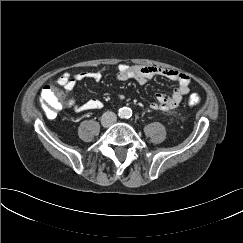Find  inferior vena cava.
<instances>
[{
  "label": "inferior vena cava",
  "mask_w": 243,
  "mask_h": 243,
  "mask_svg": "<svg viewBox=\"0 0 243 243\" xmlns=\"http://www.w3.org/2000/svg\"><path fill=\"white\" fill-rule=\"evenodd\" d=\"M117 120V116L114 112L112 111H107L105 113H103L102 115V124L105 127L111 126L112 124H114Z\"/></svg>",
  "instance_id": "602c4592"
}]
</instances>
